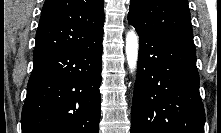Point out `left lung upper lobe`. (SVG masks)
I'll return each instance as SVG.
<instances>
[{
	"label": "left lung upper lobe",
	"mask_w": 221,
	"mask_h": 133,
	"mask_svg": "<svg viewBox=\"0 0 221 133\" xmlns=\"http://www.w3.org/2000/svg\"><path fill=\"white\" fill-rule=\"evenodd\" d=\"M128 21L137 32L193 43L187 0H131Z\"/></svg>",
	"instance_id": "1"
}]
</instances>
